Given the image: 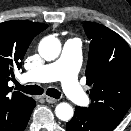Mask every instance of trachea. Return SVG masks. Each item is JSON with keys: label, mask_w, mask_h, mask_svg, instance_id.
<instances>
[{"label": "trachea", "mask_w": 131, "mask_h": 131, "mask_svg": "<svg viewBox=\"0 0 131 131\" xmlns=\"http://www.w3.org/2000/svg\"><path fill=\"white\" fill-rule=\"evenodd\" d=\"M16 89L20 90L26 94H31V95H41L43 93V88L38 86V85H27L23 86L19 84L18 82H15ZM46 94L50 97H53L55 99H59L61 96V92L54 88H49L46 91Z\"/></svg>", "instance_id": "obj_1"}]
</instances>
